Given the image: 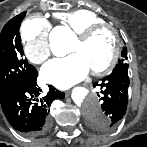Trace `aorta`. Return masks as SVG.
Here are the masks:
<instances>
[{
    "label": "aorta",
    "mask_w": 147,
    "mask_h": 147,
    "mask_svg": "<svg viewBox=\"0 0 147 147\" xmlns=\"http://www.w3.org/2000/svg\"><path fill=\"white\" fill-rule=\"evenodd\" d=\"M71 36V32L66 29L51 35L50 48L54 55L64 56L68 53ZM73 100L81 107L82 112L88 120L106 118V115L101 110L99 98L94 93L84 88H78L73 93Z\"/></svg>",
    "instance_id": "aorta-1"
}]
</instances>
